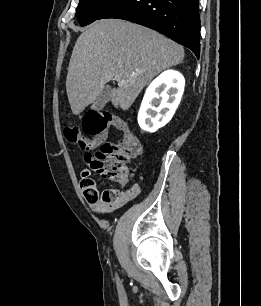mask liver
Segmentation results:
<instances>
[{
  "mask_svg": "<svg viewBox=\"0 0 261 306\" xmlns=\"http://www.w3.org/2000/svg\"><path fill=\"white\" fill-rule=\"evenodd\" d=\"M183 59L181 45L152 29L121 19L96 21L72 51L66 78L71 110L83 112L116 75L124 81L112 89V104L128 110L157 74Z\"/></svg>",
  "mask_w": 261,
  "mask_h": 306,
  "instance_id": "obj_1",
  "label": "liver"
}]
</instances>
